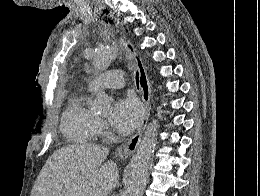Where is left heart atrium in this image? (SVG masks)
I'll list each match as a JSON object with an SVG mask.
<instances>
[{"label":"left heart atrium","mask_w":260,"mask_h":196,"mask_svg":"<svg viewBox=\"0 0 260 196\" xmlns=\"http://www.w3.org/2000/svg\"><path fill=\"white\" fill-rule=\"evenodd\" d=\"M143 114V107L137 99L123 97L115 102L109 122L119 133L127 135L139 126Z\"/></svg>","instance_id":"1"}]
</instances>
